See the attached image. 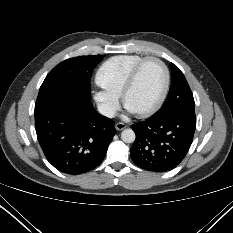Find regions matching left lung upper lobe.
I'll use <instances>...</instances> for the list:
<instances>
[{
    "label": "left lung upper lobe",
    "mask_w": 233,
    "mask_h": 233,
    "mask_svg": "<svg viewBox=\"0 0 233 233\" xmlns=\"http://www.w3.org/2000/svg\"><path fill=\"white\" fill-rule=\"evenodd\" d=\"M170 65L172 69V85L167 99L160 110L152 116L153 118H161L180 110H194L193 94L183 73L173 63Z\"/></svg>",
    "instance_id": "1"
}]
</instances>
